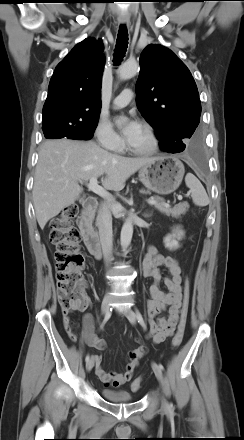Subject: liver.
<instances>
[{
    "mask_svg": "<svg viewBox=\"0 0 244 440\" xmlns=\"http://www.w3.org/2000/svg\"><path fill=\"white\" fill-rule=\"evenodd\" d=\"M156 158H127L112 154L93 141L68 139L45 141L39 151L32 191L41 229L82 193L78 181L106 174L105 189L120 191L126 180Z\"/></svg>",
    "mask_w": 244,
    "mask_h": 440,
    "instance_id": "obj_1",
    "label": "liver"
}]
</instances>
